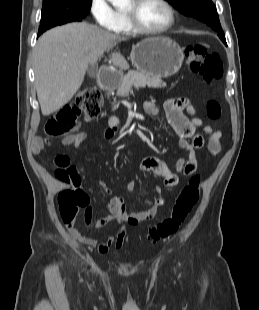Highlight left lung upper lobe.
<instances>
[{
  "label": "left lung upper lobe",
  "mask_w": 259,
  "mask_h": 310,
  "mask_svg": "<svg viewBox=\"0 0 259 310\" xmlns=\"http://www.w3.org/2000/svg\"><path fill=\"white\" fill-rule=\"evenodd\" d=\"M186 16L205 22L217 31L219 37H225L221 28L216 6L211 0H166Z\"/></svg>",
  "instance_id": "left-lung-upper-lobe-1"
}]
</instances>
